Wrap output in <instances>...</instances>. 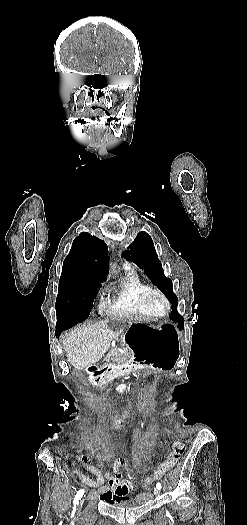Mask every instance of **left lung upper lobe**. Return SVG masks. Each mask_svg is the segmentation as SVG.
Returning <instances> with one entry per match:
<instances>
[{
  "label": "left lung upper lobe",
  "instance_id": "left-lung-upper-lobe-1",
  "mask_svg": "<svg viewBox=\"0 0 247 525\" xmlns=\"http://www.w3.org/2000/svg\"><path fill=\"white\" fill-rule=\"evenodd\" d=\"M129 250L122 253L127 260L133 261L142 268L152 283L155 284L172 303L171 319L183 324L184 319L177 313L178 299L173 293L172 281L165 277L161 262L158 259L154 243L150 235L139 232L134 241L127 247Z\"/></svg>",
  "mask_w": 247,
  "mask_h": 525
}]
</instances>
